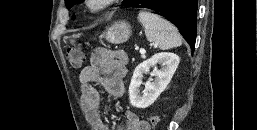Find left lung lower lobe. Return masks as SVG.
<instances>
[{
    "instance_id": "left-lung-lower-lobe-1",
    "label": "left lung lower lobe",
    "mask_w": 257,
    "mask_h": 130,
    "mask_svg": "<svg viewBox=\"0 0 257 130\" xmlns=\"http://www.w3.org/2000/svg\"><path fill=\"white\" fill-rule=\"evenodd\" d=\"M134 6L152 9L171 21L191 48L195 47L197 0H139Z\"/></svg>"
}]
</instances>
